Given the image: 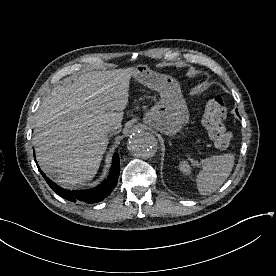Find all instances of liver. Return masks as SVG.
I'll list each match as a JSON object with an SVG mask.
<instances>
[{"mask_svg": "<svg viewBox=\"0 0 276 276\" xmlns=\"http://www.w3.org/2000/svg\"><path fill=\"white\" fill-rule=\"evenodd\" d=\"M133 74V67L90 71L43 99L33 145L41 169L61 187L74 188L97 173L109 143L104 126L120 129Z\"/></svg>", "mask_w": 276, "mask_h": 276, "instance_id": "liver-1", "label": "liver"}]
</instances>
